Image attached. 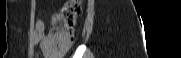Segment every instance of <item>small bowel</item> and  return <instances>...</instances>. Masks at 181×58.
I'll use <instances>...</instances> for the list:
<instances>
[{"instance_id":"1","label":"small bowel","mask_w":181,"mask_h":58,"mask_svg":"<svg viewBox=\"0 0 181 58\" xmlns=\"http://www.w3.org/2000/svg\"><path fill=\"white\" fill-rule=\"evenodd\" d=\"M46 40L45 23L41 17L38 16L35 22V42L40 44L42 50H46Z\"/></svg>"}]
</instances>
